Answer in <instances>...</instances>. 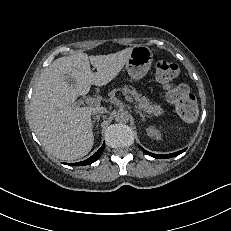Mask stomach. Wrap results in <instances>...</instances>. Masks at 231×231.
Wrapping results in <instances>:
<instances>
[{
  "mask_svg": "<svg viewBox=\"0 0 231 231\" xmlns=\"http://www.w3.org/2000/svg\"><path fill=\"white\" fill-rule=\"evenodd\" d=\"M153 61L152 50L147 46H135L126 62V70L134 80L146 76Z\"/></svg>",
  "mask_w": 231,
  "mask_h": 231,
  "instance_id": "obj_1",
  "label": "stomach"
}]
</instances>
